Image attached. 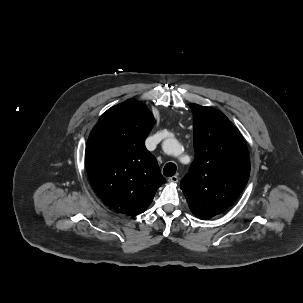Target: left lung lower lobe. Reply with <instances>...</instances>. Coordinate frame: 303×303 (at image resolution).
Returning <instances> with one entry per match:
<instances>
[{
	"label": "left lung lower lobe",
	"mask_w": 303,
	"mask_h": 303,
	"mask_svg": "<svg viewBox=\"0 0 303 303\" xmlns=\"http://www.w3.org/2000/svg\"><path fill=\"white\" fill-rule=\"evenodd\" d=\"M198 218L203 219V220H206L204 217H201V216H199Z\"/></svg>",
	"instance_id": "obj_1"
}]
</instances>
